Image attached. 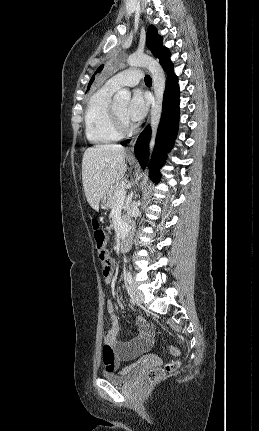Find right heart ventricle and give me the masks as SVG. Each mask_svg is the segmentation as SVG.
Wrapping results in <instances>:
<instances>
[{"label": "right heart ventricle", "instance_id": "e07e8e85", "mask_svg": "<svg viewBox=\"0 0 259 431\" xmlns=\"http://www.w3.org/2000/svg\"><path fill=\"white\" fill-rule=\"evenodd\" d=\"M116 89L104 85L94 92L86 105L84 124L87 140L93 145H104L120 139L111 117V98Z\"/></svg>", "mask_w": 259, "mask_h": 431}]
</instances>
